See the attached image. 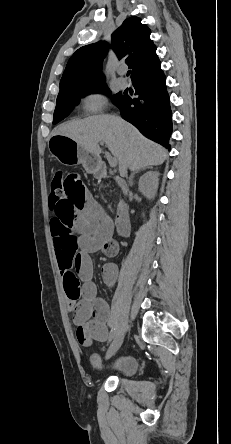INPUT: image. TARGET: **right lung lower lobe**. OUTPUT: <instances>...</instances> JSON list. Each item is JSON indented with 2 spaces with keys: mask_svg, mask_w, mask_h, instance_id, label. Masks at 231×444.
<instances>
[{
  "mask_svg": "<svg viewBox=\"0 0 231 444\" xmlns=\"http://www.w3.org/2000/svg\"><path fill=\"white\" fill-rule=\"evenodd\" d=\"M133 86L135 94L139 96L137 99L123 95L115 103L122 118L132 123L146 137L170 149L172 113L161 67L135 78Z\"/></svg>",
  "mask_w": 231,
  "mask_h": 444,
  "instance_id": "98d812e1",
  "label": "right lung lower lobe"
}]
</instances>
